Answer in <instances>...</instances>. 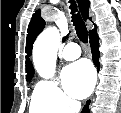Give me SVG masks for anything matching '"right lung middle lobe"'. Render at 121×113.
Listing matches in <instances>:
<instances>
[{
  "label": "right lung middle lobe",
  "instance_id": "dd1d6c3e",
  "mask_svg": "<svg viewBox=\"0 0 121 113\" xmlns=\"http://www.w3.org/2000/svg\"><path fill=\"white\" fill-rule=\"evenodd\" d=\"M32 78L30 77V78H27V81H30Z\"/></svg>",
  "mask_w": 121,
  "mask_h": 113
}]
</instances>
